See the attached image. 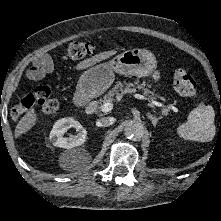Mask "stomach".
I'll return each instance as SVG.
<instances>
[{"label": "stomach", "instance_id": "1", "mask_svg": "<svg viewBox=\"0 0 221 221\" xmlns=\"http://www.w3.org/2000/svg\"><path fill=\"white\" fill-rule=\"evenodd\" d=\"M157 66L155 55L146 49H129L109 62L100 63L82 73L77 84L76 94L89 101L103 94L113 83L115 74L136 77L149 76Z\"/></svg>", "mask_w": 221, "mask_h": 221}]
</instances>
